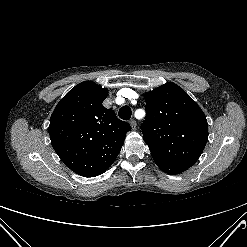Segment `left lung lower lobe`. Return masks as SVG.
<instances>
[{
    "label": "left lung lower lobe",
    "mask_w": 247,
    "mask_h": 247,
    "mask_svg": "<svg viewBox=\"0 0 247 247\" xmlns=\"http://www.w3.org/2000/svg\"><path fill=\"white\" fill-rule=\"evenodd\" d=\"M157 166L167 174H179L187 170L189 167L172 164L163 160L154 159Z\"/></svg>",
    "instance_id": "1"
}]
</instances>
